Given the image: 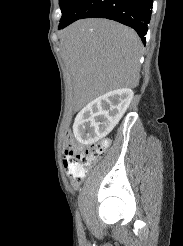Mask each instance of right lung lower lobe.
<instances>
[{"mask_svg":"<svg viewBox=\"0 0 183 246\" xmlns=\"http://www.w3.org/2000/svg\"><path fill=\"white\" fill-rule=\"evenodd\" d=\"M153 0H80L59 29L83 18H107L133 28L145 44Z\"/></svg>","mask_w":183,"mask_h":246,"instance_id":"98d812e1","label":"right lung lower lobe"}]
</instances>
